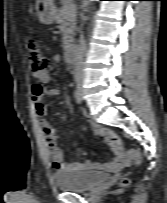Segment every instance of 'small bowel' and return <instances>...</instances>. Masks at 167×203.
<instances>
[{
	"instance_id": "obj_1",
	"label": "small bowel",
	"mask_w": 167,
	"mask_h": 203,
	"mask_svg": "<svg viewBox=\"0 0 167 203\" xmlns=\"http://www.w3.org/2000/svg\"><path fill=\"white\" fill-rule=\"evenodd\" d=\"M61 57L56 55L54 62L60 63ZM51 70L34 74L35 83L31 86L32 100L36 115L41 118V128L47 138V145L51 157V164L55 170L74 169V170H105L111 173L119 172L123 167L128 166L122 162V142L118 135L109 129L102 128L97 123H91V131L94 135L104 137L106 143L111 148L114 158L108 162L70 163L65 160L62 149L57 144V134L55 127L44 119L46 107L43 103L44 96L56 97L60 94L58 88H45L43 84L50 81Z\"/></svg>"
}]
</instances>
